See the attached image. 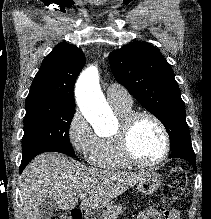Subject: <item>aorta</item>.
<instances>
[{
	"label": "aorta",
	"mask_w": 211,
	"mask_h": 219,
	"mask_svg": "<svg viewBox=\"0 0 211 219\" xmlns=\"http://www.w3.org/2000/svg\"><path fill=\"white\" fill-rule=\"evenodd\" d=\"M76 101L84 117L100 132V124L112 119V111L99 86V74L96 66L83 71L76 83Z\"/></svg>",
	"instance_id": "762f6f07"
}]
</instances>
